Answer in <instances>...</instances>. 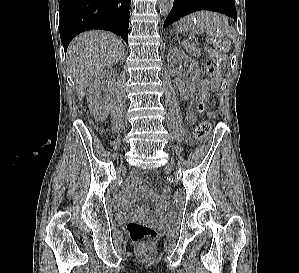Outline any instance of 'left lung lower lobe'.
Wrapping results in <instances>:
<instances>
[{"label": "left lung lower lobe", "instance_id": "left-lung-lower-lobe-1", "mask_svg": "<svg viewBox=\"0 0 299 273\" xmlns=\"http://www.w3.org/2000/svg\"><path fill=\"white\" fill-rule=\"evenodd\" d=\"M199 10L220 12L237 20L234 0H174L173 7L164 22V28L181 17Z\"/></svg>", "mask_w": 299, "mask_h": 273}]
</instances>
